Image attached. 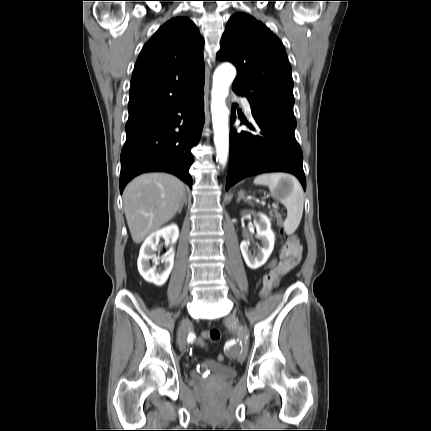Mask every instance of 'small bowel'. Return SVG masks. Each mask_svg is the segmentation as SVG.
Wrapping results in <instances>:
<instances>
[{"label":"small bowel","mask_w":431,"mask_h":431,"mask_svg":"<svg viewBox=\"0 0 431 431\" xmlns=\"http://www.w3.org/2000/svg\"><path fill=\"white\" fill-rule=\"evenodd\" d=\"M302 236H293V240L287 241L280 249V259L273 263L261 280L259 294L267 296L279 282V279L295 268L302 257Z\"/></svg>","instance_id":"1"}]
</instances>
